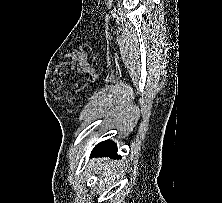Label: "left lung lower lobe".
<instances>
[{
    "instance_id": "0a47b994",
    "label": "left lung lower lobe",
    "mask_w": 222,
    "mask_h": 203,
    "mask_svg": "<svg viewBox=\"0 0 222 203\" xmlns=\"http://www.w3.org/2000/svg\"><path fill=\"white\" fill-rule=\"evenodd\" d=\"M91 156H112L115 158H121L117 155V147L113 141L106 140L99 143L93 149Z\"/></svg>"
}]
</instances>
